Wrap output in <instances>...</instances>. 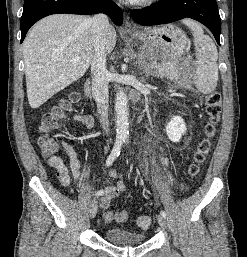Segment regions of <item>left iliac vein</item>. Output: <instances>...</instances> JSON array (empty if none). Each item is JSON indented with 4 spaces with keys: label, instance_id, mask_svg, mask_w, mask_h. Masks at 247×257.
Listing matches in <instances>:
<instances>
[{
    "label": "left iliac vein",
    "instance_id": "left-iliac-vein-1",
    "mask_svg": "<svg viewBox=\"0 0 247 257\" xmlns=\"http://www.w3.org/2000/svg\"><path fill=\"white\" fill-rule=\"evenodd\" d=\"M158 223L162 229L167 228V220L164 216H162V215L158 216Z\"/></svg>",
    "mask_w": 247,
    "mask_h": 257
}]
</instances>
